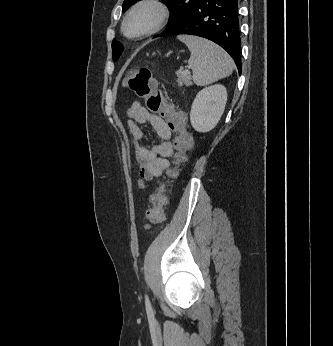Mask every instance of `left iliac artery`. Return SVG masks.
Masks as SVG:
<instances>
[{"instance_id":"left-iliac-artery-1","label":"left iliac artery","mask_w":333,"mask_h":346,"mask_svg":"<svg viewBox=\"0 0 333 346\" xmlns=\"http://www.w3.org/2000/svg\"><path fill=\"white\" fill-rule=\"evenodd\" d=\"M145 305H146V312H147L148 318L154 319L153 309L147 295H145Z\"/></svg>"}]
</instances>
